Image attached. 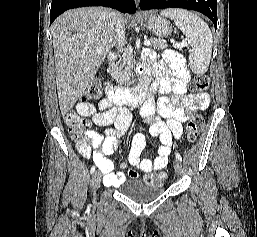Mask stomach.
<instances>
[{
	"instance_id": "1",
	"label": "stomach",
	"mask_w": 257,
	"mask_h": 237,
	"mask_svg": "<svg viewBox=\"0 0 257 237\" xmlns=\"http://www.w3.org/2000/svg\"><path fill=\"white\" fill-rule=\"evenodd\" d=\"M143 19L147 29L157 37H167L172 32L171 24L159 15L147 12Z\"/></svg>"
}]
</instances>
